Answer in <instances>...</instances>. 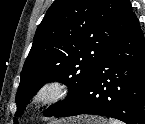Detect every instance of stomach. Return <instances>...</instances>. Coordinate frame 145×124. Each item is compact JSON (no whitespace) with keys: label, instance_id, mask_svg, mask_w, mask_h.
Returning a JSON list of instances; mask_svg holds the SVG:
<instances>
[{"label":"stomach","instance_id":"0dacf381","mask_svg":"<svg viewBox=\"0 0 145 124\" xmlns=\"http://www.w3.org/2000/svg\"><path fill=\"white\" fill-rule=\"evenodd\" d=\"M55 124H106V122L102 118H97L93 116H80L59 121Z\"/></svg>","mask_w":145,"mask_h":124}]
</instances>
